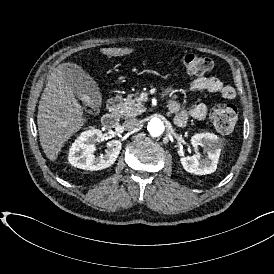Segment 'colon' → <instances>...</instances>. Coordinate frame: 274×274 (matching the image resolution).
<instances>
[{
	"mask_svg": "<svg viewBox=\"0 0 274 274\" xmlns=\"http://www.w3.org/2000/svg\"><path fill=\"white\" fill-rule=\"evenodd\" d=\"M179 66L183 67L187 73L204 74L212 71L213 61L211 58L189 53L183 55L178 60ZM211 122L214 128L222 133L231 132L237 123V110L229 103L220 104L211 112Z\"/></svg>",
	"mask_w": 274,
	"mask_h": 274,
	"instance_id": "obj_1",
	"label": "colon"
}]
</instances>
